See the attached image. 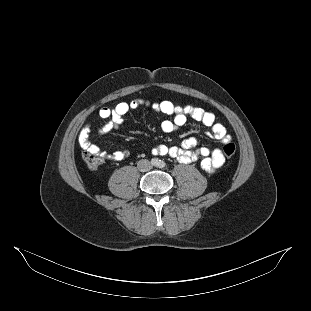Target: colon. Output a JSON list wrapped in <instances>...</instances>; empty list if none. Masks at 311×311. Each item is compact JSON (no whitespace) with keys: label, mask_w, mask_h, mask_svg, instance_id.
Listing matches in <instances>:
<instances>
[{"label":"colon","mask_w":311,"mask_h":311,"mask_svg":"<svg viewBox=\"0 0 311 311\" xmlns=\"http://www.w3.org/2000/svg\"><path fill=\"white\" fill-rule=\"evenodd\" d=\"M235 152L236 146L234 143L229 142L223 147V153L228 159L232 158L235 155ZM83 159L86 165L93 170L98 169L103 163V158L99 152L90 149L83 151Z\"/></svg>","instance_id":"5ec220e1"}]
</instances>
